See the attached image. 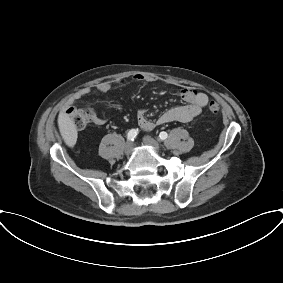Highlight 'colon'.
I'll use <instances>...</instances> for the list:
<instances>
[{"label": "colon", "mask_w": 283, "mask_h": 283, "mask_svg": "<svg viewBox=\"0 0 283 283\" xmlns=\"http://www.w3.org/2000/svg\"><path fill=\"white\" fill-rule=\"evenodd\" d=\"M208 110L211 114L216 115L219 113L220 107L217 102L210 100ZM65 116L79 130L86 128L92 121V113L88 109L77 106L69 107L65 112Z\"/></svg>", "instance_id": "5ec220e1"}]
</instances>
